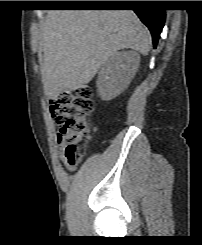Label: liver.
Instances as JSON below:
<instances>
[{
  "mask_svg": "<svg viewBox=\"0 0 202 245\" xmlns=\"http://www.w3.org/2000/svg\"><path fill=\"white\" fill-rule=\"evenodd\" d=\"M41 37L44 92L53 99L84 87L117 51L147 55L151 46L132 10H49Z\"/></svg>",
  "mask_w": 202,
  "mask_h": 245,
  "instance_id": "6515ba94",
  "label": "liver"
}]
</instances>
